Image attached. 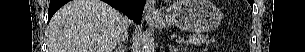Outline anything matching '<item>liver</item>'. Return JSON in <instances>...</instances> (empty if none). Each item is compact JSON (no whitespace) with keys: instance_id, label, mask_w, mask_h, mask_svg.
<instances>
[{"instance_id":"obj_1","label":"liver","mask_w":305,"mask_h":52,"mask_svg":"<svg viewBox=\"0 0 305 52\" xmlns=\"http://www.w3.org/2000/svg\"><path fill=\"white\" fill-rule=\"evenodd\" d=\"M128 20L99 0H73L60 8L48 26V52H112Z\"/></svg>"}]
</instances>
